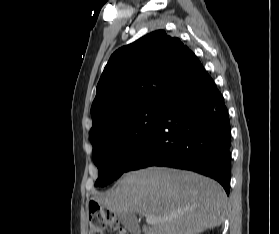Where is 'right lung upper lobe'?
<instances>
[{"label": "right lung upper lobe", "instance_id": "obj_1", "mask_svg": "<svg viewBox=\"0 0 279 234\" xmlns=\"http://www.w3.org/2000/svg\"><path fill=\"white\" fill-rule=\"evenodd\" d=\"M202 68L196 55L164 30L119 48L97 85L91 107V142L123 115L164 107Z\"/></svg>", "mask_w": 279, "mask_h": 234}]
</instances>
